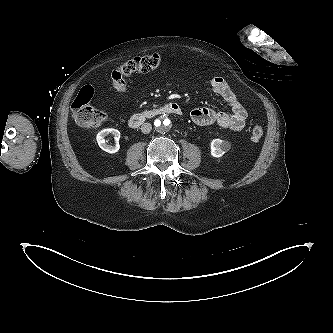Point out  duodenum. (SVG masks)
I'll return each instance as SVG.
<instances>
[{
	"mask_svg": "<svg viewBox=\"0 0 333 333\" xmlns=\"http://www.w3.org/2000/svg\"><path fill=\"white\" fill-rule=\"evenodd\" d=\"M165 114L181 115L182 108L176 102H169L160 107L147 109L133 114L130 117L128 124L131 128L135 129L140 127L146 120Z\"/></svg>",
	"mask_w": 333,
	"mask_h": 333,
	"instance_id": "1",
	"label": "duodenum"
}]
</instances>
